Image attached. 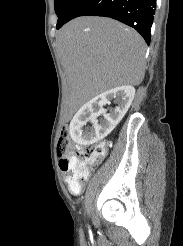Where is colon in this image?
I'll use <instances>...</instances> for the list:
<instances>
[{
	"mask_svg": "<svg viewBox=\"0 0 183 246\" xmlns=\"http://www.w3.org/2000/svg\"><path fill=\"white\" fill-rule=\"evenodd\" d=\"M72 141L70 131L64 127L59 134L57 152L60 156V168L70 179V189L79 191L89 174V168L101 160L106 153V144L99 143L86 150L71 155Z\"/></svg>",
	"mask_w": 183,
	"mask_h": 246,
	"instance_id": "5ec220e1",
	"label": "colon"
}]
</instances>
